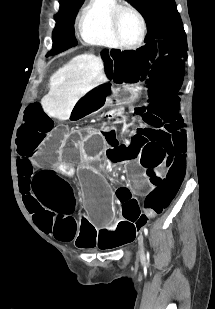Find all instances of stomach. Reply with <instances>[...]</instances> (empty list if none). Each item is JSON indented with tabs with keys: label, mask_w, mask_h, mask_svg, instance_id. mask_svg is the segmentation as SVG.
I'll use <instances>...</instances> for the list:
<instances>
[{
	"label": "stomach",
	"mask_w": 215,
	"mask_h": 309,
	"mask_svg": "<svg viewBox=\"0 0 215 309\" xmlns=\"http://www.w3.org/2000/svg\"><path fill=\"white\" fill-rule=\"evenodd\" d=\"M125 94L127 96H134L136 94V89H129Z\"/></svg>",
	"instance_id": "1"
}]
</instances>
